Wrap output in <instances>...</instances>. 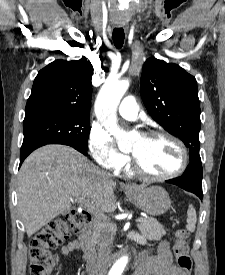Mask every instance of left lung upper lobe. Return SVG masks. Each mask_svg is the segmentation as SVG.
Masks as SVG:
<instances>
[{
	"instance_id": "1",
	"label": "left lung upper lobe",
	"mask_w": 225,
	"mask_h": 275,
	"mask_svg": "<svg viewBox=\"0 0 225 275\" xmlns=\"http://www.w3.org/2000/svg\"><path fill=\"white\" fill-rule=\"evenodd\" d=\"M141 95L147 111L189 148L190 161L200 159V106L195 77L176 64L154 57L143 65Z\"/></svg>"
}]
</instances>
